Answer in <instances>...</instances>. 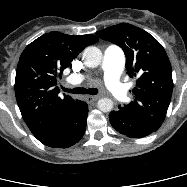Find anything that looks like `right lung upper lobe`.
<instances>
[{"label": "right lung upper lobe", "mask_w": 187, "mask_h": 187, "mask_svg": "<svg viewBox=\"0 0 187 187\" xmlns=\"http://www.w3.org/2000/svg\"><path fill=\"white\" fill-rule=\"evenodd\" d=\"M99 39L92 35L71 36L49 32L30 43L20 56L15 95L21 115L35 137H40L79 102L59 97L58 79L73 59Z\"/></svg>", "instance_id": "obj_1"}]
</instances>
